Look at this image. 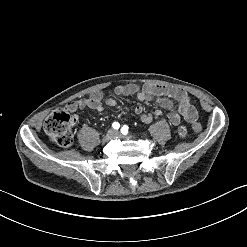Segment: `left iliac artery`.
<instances>
[{
	"label": "left iliac artery",
	"instance_id": "1",
	"mask_svg": "<svg viewBox=\"0 0 247 247\" xmlns=\"http://www.w3.org/2000/svg\"><path fill=\"white\" fill-rule=\"evenodd\" d=\"M121 133L123 135H127L128 134V126L127 125H124L122 128H121Z\"/></svg>",
	"mask_w": 247,
	"mask_h": 247
}]
</instances>
